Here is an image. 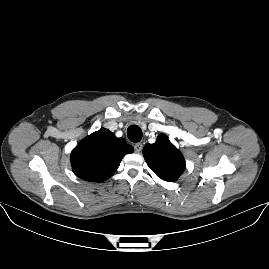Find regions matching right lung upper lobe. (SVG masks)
<instances>
[{
    "mask_svg": "<svg viewBox=\"0 0 269 269\" xmlns=\"http://www.w3.org/2000/svg\"><path fill=\"white\" fill-rule=\"evenodd\" d=\"M133 151L125 139L102 128L84 138L71 153L73 172L83 180L102 182L114 174L122 158Z\"/></svg>",
    "mask_w": 269,
    "mask_h": 269,
    "instance_id": "right-lung-upper-lobe-1",
    "label": "right lung upper lobe"
}]
</instances>
